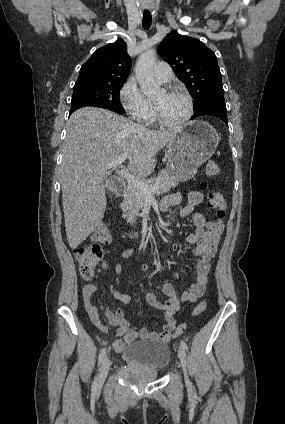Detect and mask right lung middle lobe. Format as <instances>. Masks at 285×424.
Returning a JSON list of instances; mask_svg holds the SVG:
<instances>
[{"instance_id": "1", "label": "right lung middle lobe", "mask_w": 285, "mask_h": 424, "mask_svg": "<svg viewBox=\"0 0 285 424\" xmlns=\"http://www.w3.org/2000/svg\"><path fill=\"white\" fill-rule=\"evenodd\" d=\"M123 84L124 82L75 85L71 105L87 103L118 112H124L119 98V93Z\"/></svg>"}]
</instances>
